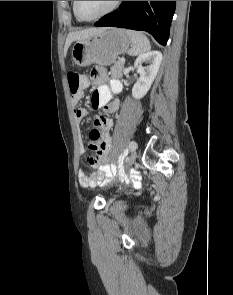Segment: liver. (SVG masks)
<instances>
[{
  "label": "liver",
  "instance_id": "6515ba94",
  "mask_svg": "<svg viewBox=\"0 0 233 295\" xmlns=\"http://www.w3.org/2000/svg\"><path fill=\"white\" fill-rule=\"evenodd\" d=\"M104 29L105 28H89L82 31L70 32L66 38V42L64 46V56H66L68 48L72 44V42L89 38L101 32Z\"/></svg>",
  "mask_w": 233,
  "mask_h": 295
}]
</instances>
